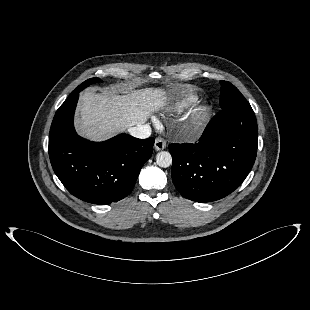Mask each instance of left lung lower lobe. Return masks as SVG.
<instances>
[{
    "label": "left lung lower lobe",
    "mask_w": 310,
    "mask_h": 310,
    "mask_svg": "<svg viewBox=\"0 0 310 310\" xmlns=\"http://www.w3.org/2000/svg\"><path fill=\"white\" fill-rule=\"evenodd\" d=\"M257 122L250 104L222 109L196 144H170L172 181L180 194L210 202L233 192L257 154Z\"/></svg>",
    "instance_id": "1"
}]
</instances>
